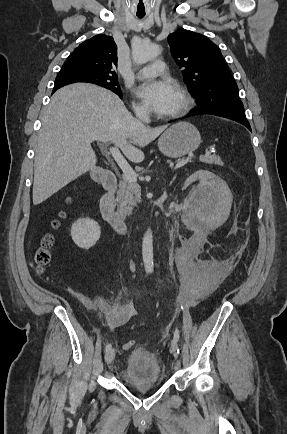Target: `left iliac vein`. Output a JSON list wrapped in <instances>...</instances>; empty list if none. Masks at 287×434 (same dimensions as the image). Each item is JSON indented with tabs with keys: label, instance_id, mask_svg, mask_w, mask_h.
<instances>
[{
	"label": "left iliac vein",
	"instance_id": "4c4485c4",
	"mask_svg": "<svg viewBox=\"0 0 287 434\" xmlns=\"http://www.w3.org/2000/svg\"><path fill=\"white\" fill-rule=\"evenodd\" d=\"M171 351H172L173 355L176 357L177 352H178V344H177V341H175V340H173L171 342ZM178 368H179V363H176L175 369H178Z\"/></svg>",
	"mask_w": 287,
	"mask_h": 434
}]
</instances>
